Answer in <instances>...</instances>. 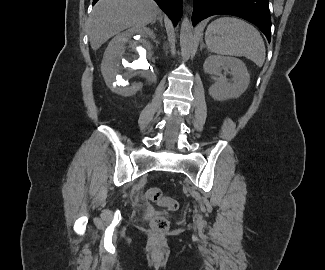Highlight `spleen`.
Here are the masks:
<instances>
[{
	"instance_id": "obj_1",
	"label": "spleen",
	"mask_w": 325,
	"mask_h": 270,
	"mask_svg": "<svg viewBox=\"0 0 325 270\" xmlns=\"http://www.w3.org/2000/svg\"><path fill=\"white\" fill-rule=\"evenodd\" d=\"M209 51L219 55L244 56L262 67L265 44L259 31L251 24L235 17H221L213 21L205 33Z\"/></svg>"
}]
</instances>
